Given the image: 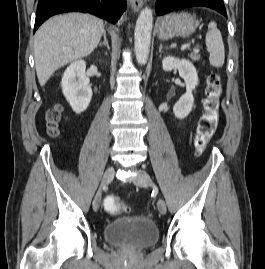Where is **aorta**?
<instances>
[{
  "mask_svg": "<svg viewBox=\"0 0 265 269\" xmlns=\"http://www.w3.org/2000/svg\"><path fill=\"white\" fill-rule=\"evenodd\" d=\"M152 27H153L152 10L149 7H145L140 12V15L137 19L134 33L135 55L136 60L140 65H144L148 59Z\"/></svg>",
  "mask_w": 265,
  "mask_h": 269,
  "instance_id": "obj_1",
  "label": "aorta"
}]
</instances>
